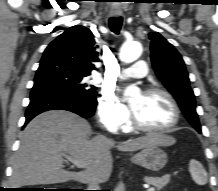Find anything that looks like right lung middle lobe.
Here are the masks:
<instances>
[{"mask_svg": "<svg viewBox=\"0 0 218 191\" xmlns=\"http://www.w3.org/2000/svg\"><path fill=\"white\" fill-rule=\"evenodd\" d=\"M87 76L89 74L79 72L62 61L42 58L36 72L34 86L53 85L87 100H95L96 87L85 83Z\"/></svg>", "mask_w": 218, "mask_h": 191, "instance_id": "1", "label": "right lung middle lobe"}]
</instances>
